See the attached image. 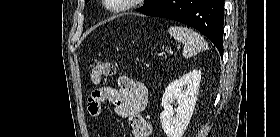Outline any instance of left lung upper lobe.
Masks as SVG:
<instances>
[{
    "label": "left lung upper lobe",
    "mask_w": 280,
    "mask_h": 137,
    "mask_svg": "<svg viewBox=\"0 0 280 137\" xmlns=\"http://www.w3.org/2000/svg\"><path fill=\"white\" fill-rule=\"evenodd\" d=\"M86 2L89 0H85ZM163 0H147L145 1V5L139 9H137V11L141 12V13H145L149 10H151L152 8H154L156 5H158L160 2H162Z\"/></svg>",
    "instance_id": "5c2ea615"
}]
</instances>
